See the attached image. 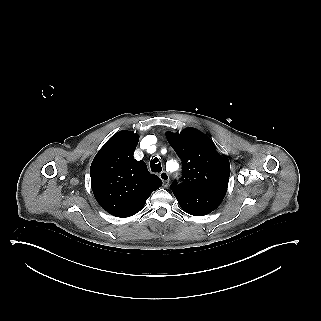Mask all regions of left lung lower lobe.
I'll return each mask as SVG.
<instances>
[{
    "mask_svg": "<svg viewBox=\"0 0 321 321\" xmlns=\"http://www.w3.org/2000/svg\"><path fill=\"white\" fill-rule=\"evenodd\" d=\"M226 191L174 192V195L186 213L194 216H203L209 214L221 204Z\"/></svg>",
    "mask_w": 321,
    "mask_h": 321,
    "instance_id": "0a47b994",
    "label": "left lung lower lobe"
}]
</instances>
